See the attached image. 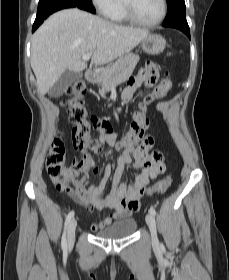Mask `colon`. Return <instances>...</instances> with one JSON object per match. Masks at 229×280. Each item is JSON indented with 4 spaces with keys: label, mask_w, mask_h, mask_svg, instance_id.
Instances as JSON below:
<instances>
[{
    "label": "colon",
    "mask_w": 229,
    "mask_h": 280,
    "mask_svg": "<svg viewBox=\"0 0 229 280\" xmlns=\"http://www.w3.org/2000/svg\"><path fill=\"white\" fill-rule=\"evenodd\" d=\"M165 79L162 83L164 91L171 88V84H167ZM86 83L82 79H78L71 83L66 90L69 97V120L73 124V141L78 149L84 153H100L102 146L97 138L90 135L91 128L99 125L103 130L110 131L111 126L107 122H98L87 117L84 107L86 96ZM149 119L141 112H136L130 124L129 130L124 137V142L128 147H136L146 137V129L149 125ZM67 160L65 143L59 137L55 138L51 144L50 152L47 157L46 167L50 178L58 182V188L65 192H75L76 186L67 182L60 174L62 167ZM144 166L153 173H160L164 169V155L160 151H153L144 159ZM171 184V177H166L150 188H142L140 195L146 192L150 195L165 191ZM139 200L134 199L131 205L139 208Z\"/></svg>",
    "instance_id": "5ec220e1"
}]
</instances>
